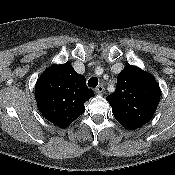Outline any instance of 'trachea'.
Returning a JSON list of instances; mask_svg holds the SVG:
<instances>
[{
    "mask_svg": "<svg viewBox=\"0 0 175 175\" xmlns=\"http://www.w3.org/2000/svg\"><path fill=\"white\" fill-rule=\"evenodd\" d=\"M97 85H98V78L97 77H91L88 80V86L89 87L96 88Z\"/></svg>",
    "mask_w": 175,
    "mask_h": 175,
    "instance_id": "obj_1",
    "label": "trachea"
}]
</instances>
